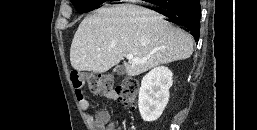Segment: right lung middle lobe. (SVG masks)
I'll list each match as a JSON object with an SVG mask.
<instances>
[{
	"instance_id": "dd1d6c3e",
	"label": "right lung middle lobe",
	"mask_w": 257,
	"mask_h": 130,
	"mask_svg": "<svg viewBox=\"0 0 257 130\" xmlns=\"http://www.w3.org/2000/svg\"><path fill=\"white\" fill-rule=\"evenodd\" d=\"M79 13H84L104 3V0H71Z\"/></svg>"
}]
</instances>
